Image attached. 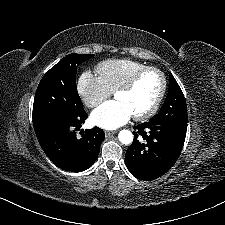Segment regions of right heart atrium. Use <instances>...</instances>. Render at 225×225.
I'll use <instances>...</instances> for the list:
<instances>
[{
  "label": "right heart atrium",
  "mask_w": 225,
  "mask_h": 225,
  "mask_svg": "<svg viewBox=\"0 0 225 225\" xmlns=\"http://www.w3.org/2000/svg\"><path fill=\"white\" fill-rule=\"evenodd\" d=\"M77 90L81 100L89 108L97 107L111 95L100 76L91 71H84L80 75Z\"/></svg>",
  "instance_id": "d8ad5b80"
}]
</instances>
